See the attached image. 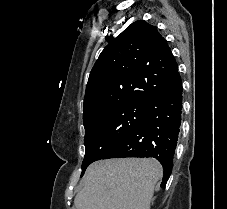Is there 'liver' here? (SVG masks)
I'll use <instances>...</instances> for the list:
<instances>
[{
	"instance_id": "liver-1",
	"label": "liver",
	"mask_w": 227,
	"mask_h": 209,
	"mask_svg": "<svg viewBox=\"0 0 227 209\" xmlns=\"http://www.w3.org/2000/svg\"><path fill=\"white\" fill-rule=\"evenodd\" d=\"M162 175L156 159H106L89 165L76 209H150Z\"/></svg>"
}]
</instances>
